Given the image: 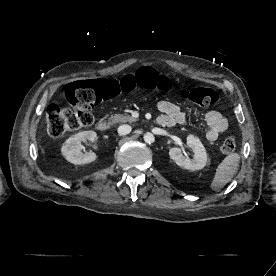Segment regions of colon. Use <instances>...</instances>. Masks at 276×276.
<instances>
[{
  "label": "colon",
  "mask_w": 276,
  "mask_h": 276,
  "mask_svg": "<svg viewBox=\"0 0 276 276\" xmlns=\"http://www.w3.org/2000/svg\"><path fill=\"white\" fill-rule=\"evenodd\" d=\"M136 87L169 92L171 81L149 67H143L135 75H126L120 80H77L65 89V100L68 107L51 105L46 111L47 130L51 137H61L68 132L88 127L94 122L93 109L97 104L107 101L119 93H126ZM183 100L195 105L208 108L218 101L216 90L208 87L184 88L179 91ZM224 154H231L236 150L234 138H226L220 147Z\"/></svg>",
  "instance_id": "obj_1"
}]
</instances>
